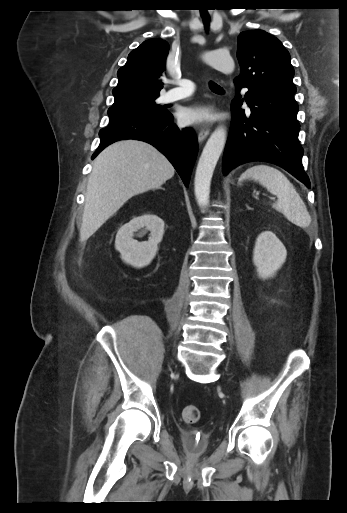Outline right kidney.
I'll list each match as a JSON object with an SVG mask.
<instances>
[{
  "label": "right kidney",
  "mask_w": 347,
  "mask_h": 513,
  "mask_svg": "<svg viewBox=\"0 0 347 513\" xmlns=\"http://www.w3.org/2000/svg\"><path fill=\"white\" fill-rule=\"evenodd\" d=\"M145 230L151 232L147 241L139 242L134 239L136 232H139L137 235L140 236ZM163 234L164 221L156 215L144 214L133 218L118 230L115 248L125 263L141 268L147 266L155 257Z\"/></svg>",
  "instance_id": "ca27d5eb"
}]
</instances>
